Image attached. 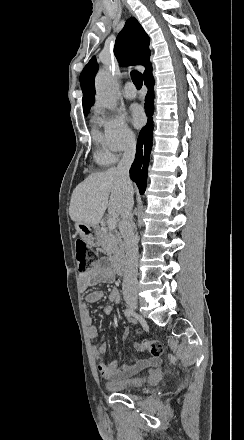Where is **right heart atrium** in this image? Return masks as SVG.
<instances>
[{"label": "right heart atrium", "instance_id": "d8ad5b80", "mask_svg": "<svg viewBox=\"0 0 244 440\" xmlns=\"http://www.w3.org/2000/svg\"><path fill=\"white\" fill-rule=\"evenodd\" d=\"M93 111L95 121L103 128L104 144L109 152L121 153L134 145L135 134L123 115L109 113L98 103Z\"/></svg>", "mask_w": 244, "mask_h": 440}]
</instances>
